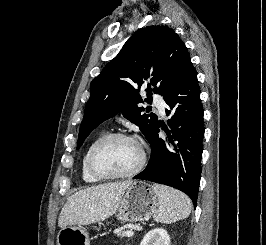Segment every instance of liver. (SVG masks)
<instances>
[{
    "mask_svg": "<svg viewBox=\"0 0 266 245\" xmlns=\"http://www.w3.org/2000/svg\"><path fill=\"white\" fill-rule=\"evenodd\" d=\"M133 181L122 183H107L97 187H87L69 197L63 207L58 225H91L97 221H105L112 217L119 207V203Z\"/></svg>",
    "mask_w": 266,
    "mask_h": 245,
    "instance_id": "obj_1",
    "label": "liver"
}]
</instances>
